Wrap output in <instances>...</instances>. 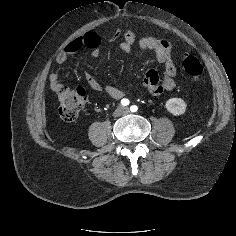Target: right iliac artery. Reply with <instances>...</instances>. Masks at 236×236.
Masks as SVG:
<instances>
[{
    "label": "right iliac artery",
    "instance_id": "obj_1",
    "mask_svg": "<svg viewBox=\"0 0 236 236\" xmlns=\"http://www.w3.org/2000/svg\"><path fill=\"white\" fill-rule=\"evenodd\" d=\"M129 103H130L129 100L126 99V98H124V99L121 100V104H122L123 106L129 105Z\"/></svg>",
    "mask_w": 236,
    "mask_h": 236
}]
</instances>
